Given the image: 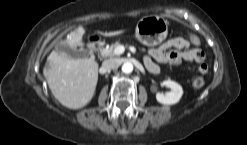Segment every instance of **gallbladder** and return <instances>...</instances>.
Returning <instances> with one entry per match:
<instances>
[{"instance_id":"bac80fb5","label":"gallbladder","mask_w":247,"mask_h":145,"mask_svg":"<svg viewBox=\"0 0 247 145\" xmlns=\"http://www.w3.org/2000/svg\"><path fill=\"white\" fill-rule=\"evenodd\" d=\"M55 51L58 53L65 52L71 58H87L89 56V51L83 48H76L74 46L67 45L64 41H60L55 46Z\"/></svg>"}]
</instances>
